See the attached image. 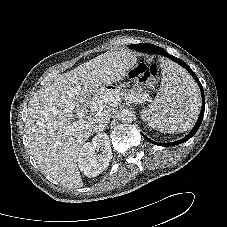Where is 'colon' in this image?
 I'll return each mask as SVG.
<instances>
[{"label": "colon", "instance_id": "colon-1", "mask_svg": "<svg viewBox=\"0 0 227 227\" xmlns=\"http://www.w3.org/2000/svg\"><path fill=\"white\" fill-rule=\"evenodd\" d=\"M129 77L135 82L155 84L158 78V67L155 64L147 65L139 61L130 69Z\"/></svg>", "mask_w": 227, "mask_h": 227}]
</instances>
